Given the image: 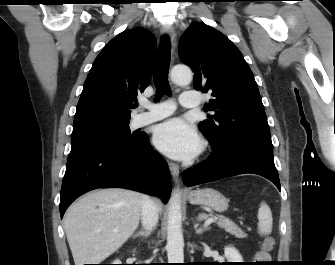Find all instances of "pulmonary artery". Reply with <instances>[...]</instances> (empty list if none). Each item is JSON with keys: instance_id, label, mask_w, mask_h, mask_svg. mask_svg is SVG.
Listing matches in <instances>:
<instances>
[{"instance_id": "e3ab8cb5", "label": "pulmonary artery", "mask_w": 335, "mask_h": 265, "mask_svg": "<svg viewBox=\"0 0 335 265\" xmlns=\"http://www.w3.org/2000/svg\"><path fill=\"white\" fill-rule=\"evenodd\" d=\"M180 105L184 108H195L200 104V97L196 91H186L180 95ZM142 107L147 111L136 115L134 124L137 127L161 120L170 116L175 111V104L171 100L161 103H142Z\"/></svg>"}]
</instances>
